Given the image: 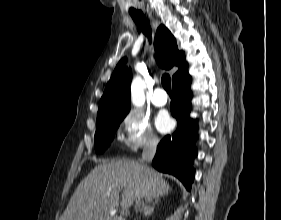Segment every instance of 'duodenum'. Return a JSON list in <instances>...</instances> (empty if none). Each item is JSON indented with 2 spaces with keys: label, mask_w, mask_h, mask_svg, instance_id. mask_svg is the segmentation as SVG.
<instances>
[{
  "label": "duodenum",
  "mask_w": 281,
  "mask_h": 220,
  "mask_svg": "<svg viewBox=\"0 0 281 220\" xmlns=\"http://www.w3.org/2000/svg\"><path fill=\"white\" fill-rule=\"evenodd\" d=\"M110 220H125L124 218H121V217H114V218H112V219H110Z\"/></svg>",
  "instance_id": "duodenum-1"
}]
</instances>
